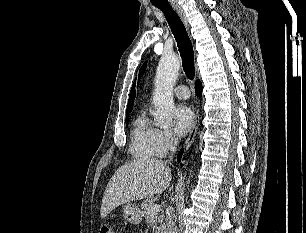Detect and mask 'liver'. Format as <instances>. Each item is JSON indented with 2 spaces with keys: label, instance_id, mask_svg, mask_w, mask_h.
I'll return each instance as SVG.
<instances>
[{
  "label": "liver",
  "instance_id": "liver-1",
  "mask_svg": "<svg viewBox=\"0 0 306 233\" xmlns=\"http://www.w3.org/2000/svg\"><path fill=\"white\" fill-rule=\"evenodd\" d=\"M172 180L166 162L137 158L119 167L103 194L101 217L105 218L121 204L152 197L165 191Z\"/></svg>",
  "mask_w": 306,
  "mask_h": 233
}]
</instances>
